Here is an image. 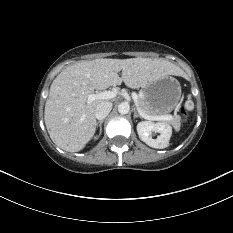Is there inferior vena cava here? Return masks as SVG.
Returning <instances> with one entry per match:
<instances>
[{"mask_svg": "<svg viewBox=\"0 0 233 233\" xmlns=\"http://www.w3.org/2000/svg\"><path fill=\"white\" fill-rule=\"evenodd\" d=\"M112 109V103L108 101H102L96 106L95 117L98 120H103L107 117Z\"/></svg>", "mask_w": 233, "mask_h": 233, "instance_id": "1", "label": "inferior vena cava"}]
</instances>
